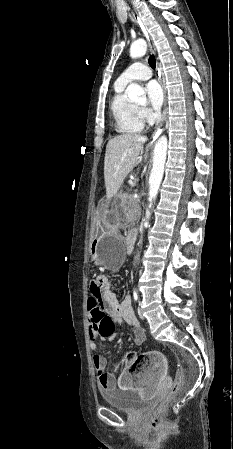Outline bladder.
Returning <instances> with one entry per match:
<instances>
[{"mask_svg": "<svg viewBox=\"0 0 233 449\" xmlns=\"http://www.w3.org/2000/svg\"><path fill=\"white\" fill-rule=\"evenodd\" d=\"M102 397L106 404L116 410L126 413H134L145 410L150 408L153 404L152 400L138 398L133 389H103Z\"/></svg>", "mask_w": 233, "mask_h": 449, "instance_id": "bladder-1", "label": "bladder"}]
</instances>
